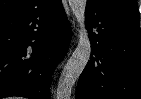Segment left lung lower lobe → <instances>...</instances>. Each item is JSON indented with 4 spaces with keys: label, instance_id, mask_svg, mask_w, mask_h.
<instances>
[{
    "label": "left lung lower lobe",
    "instance_id": "left-lung-lower-lobe-1",
    "mask_svg": "<svg viewBox=\"0 0 141 99\" xmlns=\"http://www.w3.org/2000/svg\"><path fill=\"white\" fill-rule=\"evenodd\" d=\"M92 45L76 99H141V31L136 14L86 5Z\"/></svg>",
    "mask_w": 141,
    "mask_h": 99
}]
</instances>
